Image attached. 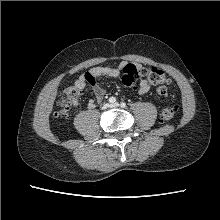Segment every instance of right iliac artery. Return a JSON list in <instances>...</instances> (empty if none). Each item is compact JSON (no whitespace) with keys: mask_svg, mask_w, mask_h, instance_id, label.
I'll return each instance as SVG.
<instances>
[{"mask_svg":"<svg viewBox=\"0 0 220 220\" xmlns=\"http://www.w3.org/2000/svg\"><path fill=\"white\" fill-rule=\"evenodd\" d=\"M109 102L110 103H115L116 102V98L115 97H110L109 98Z\"/></svg>","mask_w":220,"mask_h":220,"instance_id":"82829eb1","label":"right iliac artery"}]
</instances>
